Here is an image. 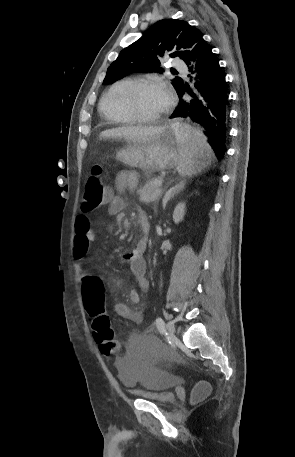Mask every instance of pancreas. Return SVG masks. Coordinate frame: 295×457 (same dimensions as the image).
<instances>
[{
    "label": "pancreas",
    "instance_id": "cf45deb5",
    "mask_svg": "<svg viewBox=\"0 0 295 457\" xmlns=\"http://www.w3.org/2000/svg\"><path fill=\"white\" fill-rule=\"evenodd\" d=\"M161 180V178L151 179L144 187L138 189L137 193L140 195V201L146 204L159 200L162 195L160 186L156 185L155 182Z\"/></svg>",
    "mask_w": 295,
    "mask_h": 457
}]
</instances>
